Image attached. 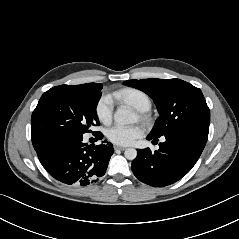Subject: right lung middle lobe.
<instances>
[{
    "mask_svg": "<svg viewBox=\"0 0 239 239\" xmlns=\"http://www.w3.org/2000/svg\"><path fill=\"white\" fill-rule=\"evenodd\" d=\"M102 87L61 85L46 91L31 117V138L34 149L43 141L60 133L83 135L99 124L96 107Z\"/></svg>",
    "mask_w": 239,
    "mask_h": 239,
    "instance_id": "obj_1",
    "label": "right lung middle lobe"
}]
</instances>
